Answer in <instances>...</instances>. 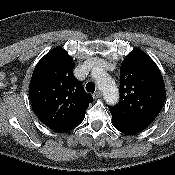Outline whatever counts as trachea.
I'll use <instances>...</instances> for the list:
<instances>
[{
    "instance_id": "3493384b",
    "label": "trachea",
    "mask_w": 175,
    "mask_h": 175,
    "mask_svg": "<svg viewBox=\"0 0 175 175\" xmlns=\"http://www.w3.org/2000/svg\"><path fill=\"white\" fill-rule=\"evenodd\" d=\"M85 88H86L87 92L94 93V91H95V84L93 82H88L86 84Z\"/></svg>"
}]
</instances>
